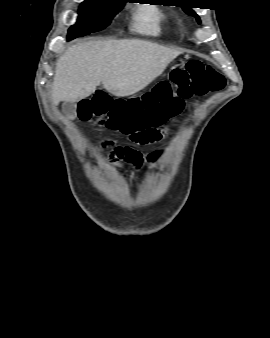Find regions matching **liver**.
<instances>
[{
    "mask_svg": "<svg viewBox=\"0 0 270 338\" xmlns=\"http://www.w3.org/2000/svg\"><path fill=\"white\" fill-rule=\"evenodd\" d=\"M181 52L138 39L89 41L70 47L58 60L52 101L78 102L100 83L117 96L133 95L160 76Z\"/></svg>",
    "mask_w": 270,
    "mask_h": 338,
    "instance_id": "obj_1",
    "label": "liver"
}]
</instances>
